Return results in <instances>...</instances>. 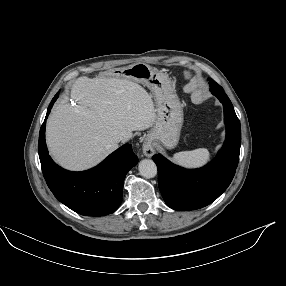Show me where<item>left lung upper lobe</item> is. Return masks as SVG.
Listing matches in <instances>:
<instances>
[{
  "label": "left lung upper lobe",
  "mask_w": 286,
  "mask_h": 286,
  "mask_svg": "<svg viewBox=\"0 0 286 286\" xmlns=\"http://www.w3.org/2000/svg\"><path fill=\"white\" fill-rule=\"evenodd\" d=\"M209 82H210V91L212 94H214L217 97L226 95L223 92V88L220 85H218L213 79L209 78Z\"/></svg>",
  "instance_id": "obj_1"
}]
</instances>
